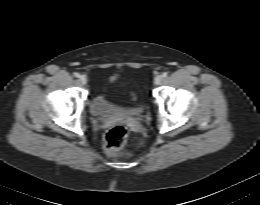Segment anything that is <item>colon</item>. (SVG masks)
I'll use <instances>...</instances> for the list:
<instances>
[{
	"label": "colon",
	"mask_w": 260,
	"mask_h": 205,
	"mask_svg": "<svg viewBox=\"0 0 260 205\" xmlns=\"http://www.w3.org/2000/svg\"><path fill=\"white\" fill-rule=\"evenodd\" d=\"M128 138V131L122 125L111 127L104 135V144L107 153L118 156L123 153V148Z\"/></svg>",
	"instance_id": "5ec220e1"
}]
</instances>
